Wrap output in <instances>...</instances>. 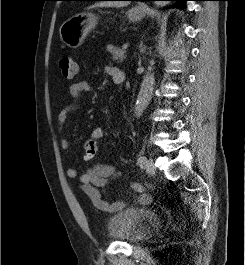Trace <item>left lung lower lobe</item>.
Here are the masks:
<instances>
[{"label":"left lung lower lobe","instance_id":"left-lung-lower-lobe-1","mask_svg":"<svg viewBox=\"0 0 245 265\" xmlns=\"http://www.w3.org/2000/svg\"><path fill=\"white\" fill-rule=\"evenodd\" d=\"M125 1H177L178 3L175 4L174 7L184 9L185 4L183 2L189 0H125Z\"/></svg>","mask_w":245,"mask_h":265}]
</instances>
